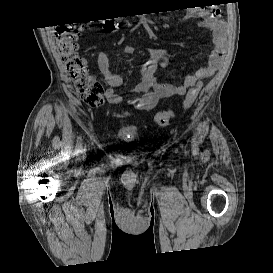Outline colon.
I'll return each instance as SVG.
<instances>
[{"label":"colon","instance_id":"5ec220e1","mask_svg":"<svg viewBox=\"0 0 273 273\" xmlns=\"http://www.w3.org/2000/svg\"><path fill=\"white\" fill-rule=\"evenodd\" d=\"M84 23L60 26L55 31L58 52L74 83L76 94L89 107H97L103 101L105 87L89 70L88 62L78 50L77 38L84 28ZM199 87L192 88L185 97L182 108L187 109L196 99ZM174 118L173 111L157 113L155 121L160 126H167Z\"/></svg>","mask_w":273,"mask_h":273}]
</instances>
